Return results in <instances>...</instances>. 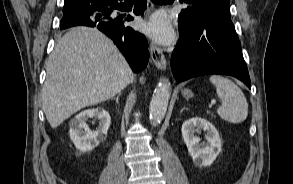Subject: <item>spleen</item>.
Instances as JSON below:
<instances>
[{
    "mask_svg": "<svg viewBox=\"0 0 293 184\" xmlns=\"http://www.w3.org/2000/svg\"><path fill=\"white\" fill-rule=\"evenodd\" d=\"M209 80L216 87L217 96L222 101L217 109L218 115L230 123L243 122L248 116V103L242 90L221 75H212Z\"/></svg>",
    "mask_w": 293,
    "mask_h": 184,
    "instance_id": "3e777b00",
    "label": "spleen"
}]
</instances>
